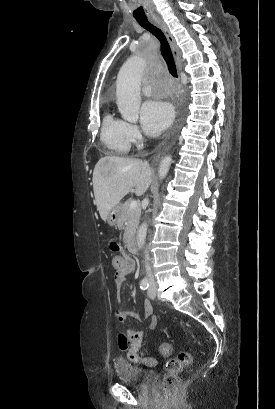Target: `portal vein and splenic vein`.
<instances>
[{
  "mask_svg": "<svg viewBox=\"0 0 275 409\" xmlns=\"http://www.w3.org/2000/svg\"><path fill=\"white\" fill-rule=\"evenodd\" d=\"M135 207H137V200H132L130 209H135Z\"/></svg>",
  "mask_w": 275,
  "mask_h": 409,
  "instance_id": "portal-vein-and-splenic-vein-1",
  "label": "portal vein and splenic vein"
}]
</instances>
